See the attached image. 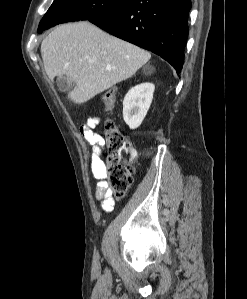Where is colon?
Listing matches in <instances>:
<instances>
[{
  "instance_id": "1",
  "label": "colon",
  "mask_w": 247,
  "mask_h": 299,
  "mask_svg": "<svg viewBox=\"0 0 247 299\" xmlns=\"http://www.w3.org/2000/svg\"><path fill=\"white\" fill-rule=\"evenodd\" d=\"M102 98L106 111L111 112L116 100L115 92L108 90ZM104 147L106 156L103 178L110 192L116 197H122L133 183L137 152L130 139L120 132L110 118L104 122Z\"/></svg>"
}]
</instances>
